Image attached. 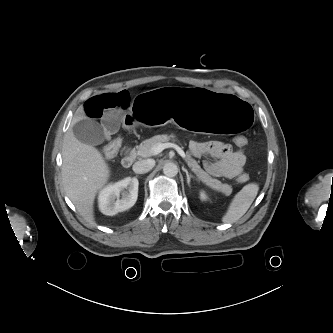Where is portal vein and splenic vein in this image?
I'll return each instance as SVG.
<instances>
[{
    "instance_id": "portal-vein-and-splenic-vein-1",
    "label": "portal vein and splenic vein",
    "mask_w": 333,
    "mask_h": 333,
    "mask_svg": "<svg viewBox=\"0 0 333 333\" xmlns=\"http://www.w3.org/2000/svg\"><path fill=\"white\" fill-rule=\"evenodd\" d=\"M166 148H173L175 149L178 154L182 157V158H186V154L183 151V149L178 146L177 144L171 143V142H166V143H158L156 144L153 148H152V152L154 155L159 154L160 152H162L164 149Z\"/></svg>"
}]
</instances>
